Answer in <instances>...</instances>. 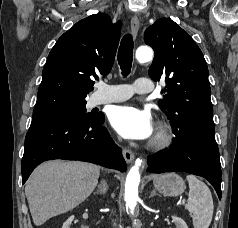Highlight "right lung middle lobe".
I'll return each instance as SVG.
<instances>
[{
  "label": "right lung middle lobe",
  "mask_w": 238,
  "mask_h": 228,
  "mask_svg": "<svg viewBox=\"0 0 238 228\" xmlns=\"http://www.w3.org/2000/svg\"><path fill=\"white\" fill-rule=\"evenodd\" d=\"M85 106H86V101L77 103V104L68 105L43 117L66 116V117H72L75 119H80L83 121H92V120L98 119L102 115V113L87 112Z\"/></svg>",
  "instance_id": "right-lung-middle-lobe-1"
}]
</instances>
